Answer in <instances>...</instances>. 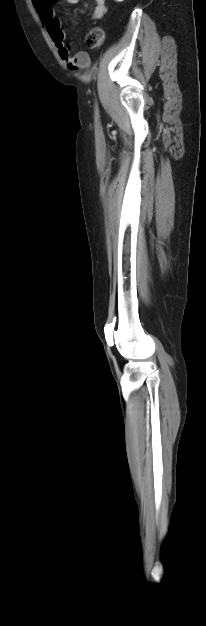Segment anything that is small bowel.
Returning a JSON list of instances; mask_svg holds the SVG:
<instances>
[{
	"label": "small bowel",
	"instance_id": "small-bowel-1",
	"mask_svg": "<svg viewBox=\"0 0 206 626\" xmlns=\"http://www.w3.org/2000/svg\"><path fill=\"white\" fill-rule=\"evenodd\" d=\"M68 3H76L78 0H66ZM95 7L91 13L93 20H101L106 13V0H94ZM36 9L39 12L41 21L46 27L55 47L57 48L61 59L65 62L69 69H83L90 65L91 59L87 52L79 51L72 53L70 44L66 41L65 33L61 29L59 19L55 16L53 10V0H33Z\"/></svg>",
	"mask_w": 206,
	"mask_h": 626
}]
</instances>
